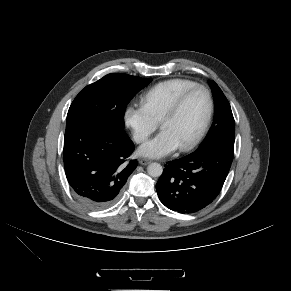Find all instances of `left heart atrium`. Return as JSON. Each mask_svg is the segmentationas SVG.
I'll return each instance as SVG.
<instances>
[{
	"mask_svg": "<svg viewBox=\"0 0 291 291\" xmlns=\"http://www.w3.org/2000/svg\"><path fill=\"white\" fill-rule=\"evenodd\" d=\"M179 147L175 137L167 130H162L153 139L147 141L139 148L142 156L160 158L170 154Z\"/></svg>",
	"mask_w": 291,
	"mask_h": 291,
	"instance_id": "obj_1",
	"label": "left heart atrium"
}]
</instances>
